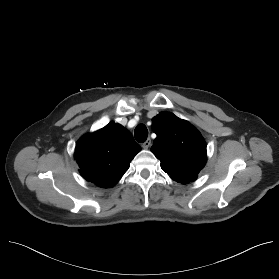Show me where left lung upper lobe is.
Masks as SVG:
<instances>
[{
  "label": "left lung upper lobe",
  "instance_id": "obj_1",
  "mask_svg": "<svg viewBox=\"0 0 279 279\" xmlns=\"http://www.w3.org/2000/svg\"><path fill=\"white\" fill-rule=\"evenodd\" d=\"M152 129L157 137L151 151L160 160L163 171L179 183L196 180L207 160L206 143L199 131L169 112L154 117Z\"/></svg>",
  "mask_w": 279,
  "mask_h": 279
}]
</instances>
